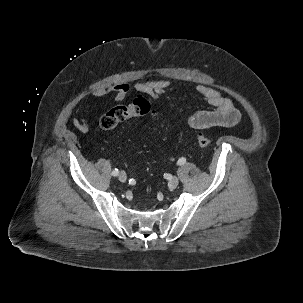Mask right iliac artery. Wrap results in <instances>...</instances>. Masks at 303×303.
I'll use <instances>...</instances> for the list:
<instances>
[{"label": "right iliac artery", "instance_id": "obj_1", "mask_svg": "<svg viewBox=\"0 0 303 303\" xmlns=\"http://www.w3.org/2000/svg\"><path fill=\"white\" fill-rule=\"evenodd\" d=\"M118 174H119L118 169H114V170L112 171V175H113V176H117Z\"/></svg>", "mask_w": 303, "mask_h": 303}]
</instances>
